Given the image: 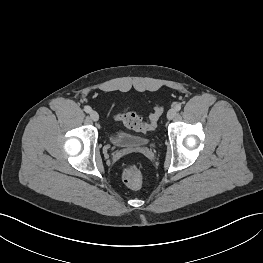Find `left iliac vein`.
<instances>
[{
	"label": "left iliac vein",
	"instance_id": "obj_1",
	"mask_svg": "<svg viewBox=\"0 0 263 263\" xmlns=\"http://www.w3.org/2000/svg\"><path fill=\"white\" fill-rule=\"evenodd\" d=\"M176 116V110L174 108H171L168 112H167V118L169 120L173 119Z\"/></svg>",
	"mask_w": 263,
	"mask_h": 263
}]
</instances>
